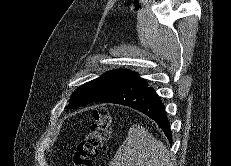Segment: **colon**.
Segmentation results:
<instances>
[{
	"mask_svg": "<svg viewBox=\"0 0 231 166\" xmlns=\"http://www.w3.org/2000/svg\"><path fill=\"white\" fill-rule=\"evenodd\" d=\"M112 116L106 108L94 112L89 132L78 142L72 156V166H92L102 144L108 140Z\"/></svg>",
	"mask_w": 231,
	"mask_h": 166,
	"instance_id": "colon-1",
	"label": "colon"
}]
</instances>
